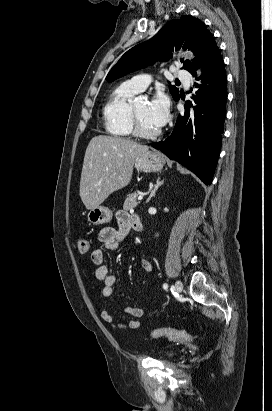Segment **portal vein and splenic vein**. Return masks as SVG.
Wrapping results in <instances>:
<instances>
[{
	"label": "portal vein and splenic vein",
	"mask_w": 272,
	"mask_h": 411,
	"mask_svg": "<svg viewBox=\"0 0 272 411\" xmlns=\"http://www.w3.org/2000/svg\"><path fill=\"white\" fill-rule=\"evenodd\" d=\"M142 199H143V195L141 194L138 196V200L141 201Z\"/></svg>",
	"instance_id": "18ae733b"
}]
</instances>
